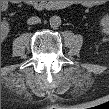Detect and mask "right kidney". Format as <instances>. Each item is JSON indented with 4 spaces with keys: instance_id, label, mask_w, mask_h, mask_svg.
I'll list each match as a JSON object with an SVG mask.
<instances>
[{
    "instance_id": "1",
    "label": "right kidney",
    "mask_w": 109,
    "mask_h": 109,
    "mask_svg": "<svg viewBox=\"0 0 109 109\" xmlns=\"http://www.w3.org/2000/svg\"><path fill=\"white\" fill-rule=\"evenodd\" d=\"M1 29H2V38L4 39L8 35L9 25L7 23L6 24H3Z\"/></svg>"
}]
</instances>
